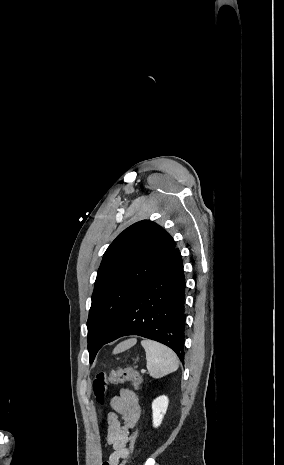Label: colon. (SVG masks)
<instances>
[{
    "label": "colon",
    "mask_w": 284,
    "mask_h": 465,
    "mask_svg": "<svg viewBox=\"0 0 284 465\" xmlns=\"http://www.w3.org/2000/svg\"><path fill=\"white\" fill-rule=\"evenodd\" d=\"M141 380L142 378L140 374L132 367L113 370L109 374L100 373L94 381L93 396L99 405H104L107 397L108 384H117L124 381H132L134 386L138 388L141 383ZM135 441L136 438L134 436L129 441V448L133 447ZM102 465H112V463L103 462ZM119 465H124V462H119Z\"/></svg>",
    "instance_id": "5ec220e1"
}]
</instances>
